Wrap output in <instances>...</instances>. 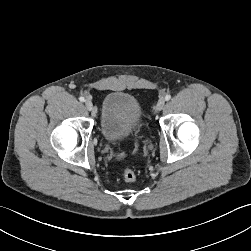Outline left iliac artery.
<instances>
[{
    "instance_id": "44dca946",
    "label": "left iliac artery",
    "mask_w": 251,
    "mask_h": 251,
    "mask_svg": "<svg viewBox=\"0 0 251 251\" xmlns=\"http://www.w3.org/2000/svg\"><path fill=\"white\" fill-rule=\"evenodd\" d=\"M170 99H171V95H170V94H167V95L165 96V100L168 101V100H170Z\"/></svg>"
}]
</instances>
